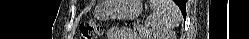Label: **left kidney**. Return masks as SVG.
I'll use <instances>...</instances> for the list:
<instances>
[{
  "label": "left kidney",
  "mask_w": 249,
  "mask_h": 39,
  "mask_svg": "<svg viewBox=\"0 0 249 39\" xmlns=\"http://www.w3.org/2000/svg\"><path fill=\"white\" fill-rule=\"evenodd\" d=\"M166 38H168V37H164L163 39H166ZM152 39H156V37H154V35H153Z\"/></svg>",
  "instance_id": "left-kidney-1"
}]
</instances>
